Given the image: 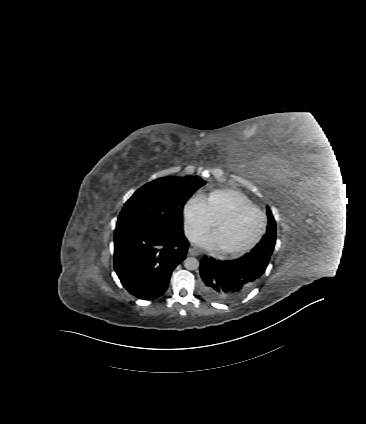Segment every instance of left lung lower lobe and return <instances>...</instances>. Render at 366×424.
<instances>
[{
	"label": "left lung lower lobe",
	"mask_w": 366,
	"mask_h": 424,
	"mask_svg": "<svg viewBox=\"0 0 366 424\" xmlns=\"http://www.w3.org/2000/svg\"><path fill=\"white\" fill-rule=\"evenodd\" d=\"M266 267L262 260L247 254L233 261L204 258L200 264V291L216 302L238 300L259 283Z\"/></svg>",
	"instance_id": "0a47b994"
}]
</instances>
